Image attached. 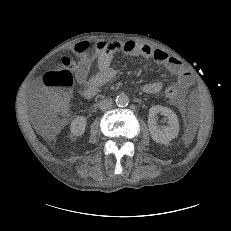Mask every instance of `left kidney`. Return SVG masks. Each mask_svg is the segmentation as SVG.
Segmentation results:
<instances>
[{
	"label": "left kidney",
	"instance_id": "obj_1",
	"mask_svg": "<svg viewBox=\"0 0 231 231\" xmlns=\"http://www.w3.org/2000/svg\"><path fill=\"white\" fill-rule=\"evenodd\" d=\"M161 113L168 119V126L159 128L156 122V115ZM148 127L152 139L160 144H167L177 137L179 133V122L177 115L169 108L160 105L152 106L149 109Z\"/></svg>",
	"mask_w": 231,
	"mask_h": 231
}]
</instances>
